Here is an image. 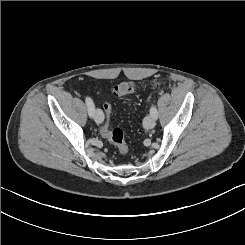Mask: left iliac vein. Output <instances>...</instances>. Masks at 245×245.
<instances>
[{
    "mask_svg": "<svg viewBox=\"0 0 245 245\" xmlns=\"http://www.w3.org/2000/svg\"><path fill=\"white\" fill-rule=\"evenodd\" d=\"M144 128L146 129H152L155 126V120L152 116L148 115L145 117L143 122Z\"/></svg>",
    "mask_w": 245,
    "mask_h": 245,
    "instance_id": "4c4485c4",
    "label": "left iliac vein"
}]
</instances>
